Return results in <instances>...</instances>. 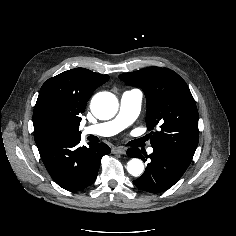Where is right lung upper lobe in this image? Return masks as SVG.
<instances>
[{"label":"right lung upper lobe","instance_id":"cb5924a9","mask_svg":"<svg viewBox=\"0 0 236 236\" xmlns=\"http://www.w3.org/2000/svg\"><path fill=\"white\" fill-rule=\"evenodd\" d=\"M108 80V75L85 68L71 69L48 79L40 89L33 112L36 144L58 137L81 136L79 115L93 91Z\"/></svg>","mask_w":236,"mask_h":236}]
</instances>
